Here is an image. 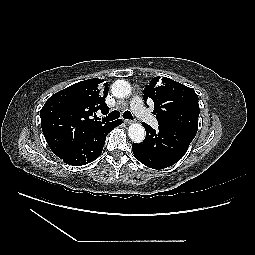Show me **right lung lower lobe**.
I'll return each mask as SVG.
<instances>
[{
	"label": "right lung lower lobe",
	"mask_w": 255,
	"mask_h": 255,
	"mask_svg": "<svg viewBox=\"0 0 255 255\" xmlns=\"http://www.w3.org/2000/svg\"><path fill=\"white\" fill-rule=\"evenodd\" d=\"M121 123L122 120L119 119L88 131L69 145L58 157L73 166H81L94 161L103 150L107 134Z\"/></svg>",
	"instance_id": "right-lung-lower-lobe-1"
}]
</instances>
